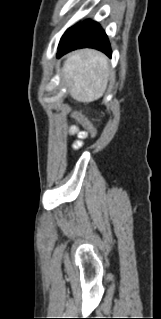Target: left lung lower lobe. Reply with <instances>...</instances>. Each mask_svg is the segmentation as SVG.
<instances>
[{"label": "left lung lower lobe", "mask_w": 161, "mask_h": 319, "mask_svg": "<svg viewBox=\"0 0 161 319\" xmlns=\"http://www.w3.org/2000/svg\"><path fill=\"white\" fill-rule=\"evenodd\" d=\"M84 47L95 48L111 57L112 52L107 35L97 22L91 20L83 21L61 38L57 57Z\"/></svg>", "instance_id": "left-lung-lower-lobe-1"}]
</instances>
